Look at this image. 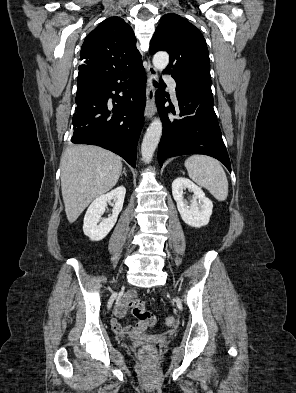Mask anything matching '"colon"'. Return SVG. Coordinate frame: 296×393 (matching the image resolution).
Masks as SVG:
<instances>
[{
    "instance_id": "obj_1",
    "label": "colon",
    "mask_w": 296,
    "mask_h": 393,
    "mask_svg": "<svg viewBox=\"0 0 296 393\" xmlns=\"http://www.w3.org/2000/svg\"><path fill=\"white\" fill-rule=\"evenodd\" d=\"M124 307L127 310H131L133 315L144 322L148 326H153L156 323V316L154 313L145 309L144 304L141 300H129L124 302ZM168 327H172L175 324L173 318H167L165 321ZM156 355V348L153 345H146L139 351L140 358L145 362H150Z\"/></svg>"
}]
</instances>
